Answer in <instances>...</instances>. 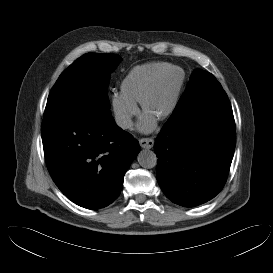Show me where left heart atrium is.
Instances as JSON below:
<instances>
[{"label": "left heart atrium", "mask_w": 273, "mask_h": 273, "mask_svg": "<svg viewBox=\"0 0 273 273\" xmlns=\"http://www.w3.org/2000/svg\"><path fill=\"white\" fill-rule=\"evenodd\" d=\"M140 129L145 132H150L152 131L155 126H156V120L155 117L149 115V114H144V117L142 121L140 122Z\"/></svg>", "instance_id": "39dd6f15"}]
</instances>
